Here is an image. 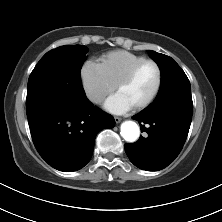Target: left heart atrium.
I'll return each instance as SVG.
<instances>
[{"label": "left heart atrium", "instance_id": "1", "mask_svg": "<svg viewBox=\"0 0 222 222\" xmlns=\"http://www.w3.org/2000/svg\"><path fill=\"white\" fill-rule=\"evenodd\" d=\"M104 108L113 114H125L133 105L119 92L112 94L104 103Z\"/></svg>", "mask_w": 222, "mask_h": 222}]
</instances>
